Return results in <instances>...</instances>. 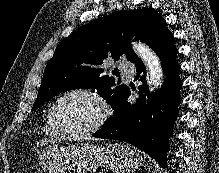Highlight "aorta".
I'll use <instances>...</instances> for the list:
<instances>
[{
	"instance_id": "obj_1",
	"label": "aorta",
	"mask_w": 219,
	"mask_h": 173,
	"mask_svg": "<svg viewBox=\"0 0 219 173\" xmlns=\"http://www.w3.org/2000/svg\"><path fill=\"white\" fill-rule=\"evenodd\" d=\"M134 52L145 63L147 68V83L151 90L157 89L162 84L163 70L159 57L147 45L136 42L133 44Z\"/></svg>"
}]
</instances>
